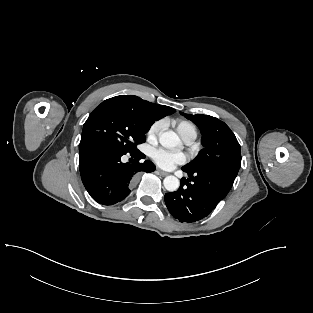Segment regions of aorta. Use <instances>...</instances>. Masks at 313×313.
Instances as JSON below:
<instances>
[{
  "label": "aorta",
  "mask_w": 313,
  "mask_h": 313,
  "mask_svg": "<svg viewBox=\"0 0 313 313\" xmlns=\"http://www.w3.org/2000/svg\"><path fill=\"white\" fill-rule=\"evenodd\" d=\"M159 142L165 148H174L180 145L178 135L173 131L161 133L159 135ZM164 187L167 191L173 192L179 188V179L173 175L167 176L163 180Z\"/></svg>",
  "instance_id": "obj_1"
}]
</instances>
